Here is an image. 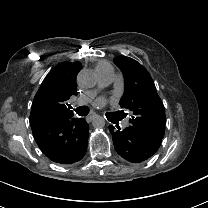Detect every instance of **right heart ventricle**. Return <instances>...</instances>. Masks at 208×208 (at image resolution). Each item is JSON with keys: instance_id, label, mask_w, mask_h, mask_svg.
<instances>
[{"instance_id": "e07e8e85", "label": "right heart ventricle", "mask_w": 208, "mask_h": 208, "mask_svg": "<svg viewBox=\"0 0 208 208\" xmlns=\"http://www.w3.org/2000/svg\"><path fill=\"white\" fill-rule=\"evenodd\" d=\"M110 66H111V65H110L108 62H106V61H100V62L97 64L95 70H96V72H97L98 74H100V73L104 72V71H105L108 67H110Z\"/></svg>"}]
</instances>
